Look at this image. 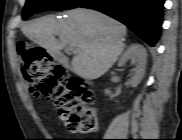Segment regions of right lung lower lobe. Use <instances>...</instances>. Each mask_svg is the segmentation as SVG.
<instances>
[{
  "mask_svg": "<svg viewBox=\"0 0 182 140\" xmlns=\"http://www.w3.org/2000/svg\"><path fill=\"white\" fill-rule=\"evenodd\" d=\"M79 7L113 17L150 46H154L160 37L164 0H87Z\"/></svg>",
  "mask_w": 182,
  "mask_h": 140,
  "instance_id": "right-lung-lower-lobe-1",
  "label": "right lung lower lobe"
}]
</instances>
